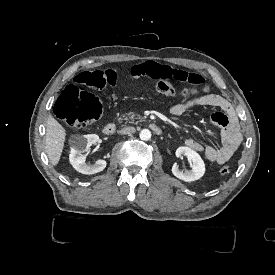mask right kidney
Masks as SVG:
<instances>
[{"mask_svg":"<svg viewBox=\"0 0 275 275\" xmlns=\"http://www.w3.org/2000/svg\"><path fill=\"white\" fill-rule=\"evenodd\" d=\"M99 136L96 134L72 135L69 139L70 154L69 161L75 170L82 174H95L101 172L106 167L105 160H97L93 165L85 163L86 157L82 154L92 144L98 142Z\"/></svg>","mask_w":275,"mask_h":275,"instance_id":"ca27d5eb","label":"right kidney"}]
</instances>
